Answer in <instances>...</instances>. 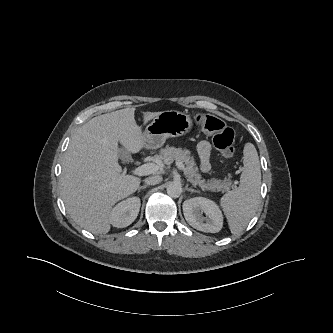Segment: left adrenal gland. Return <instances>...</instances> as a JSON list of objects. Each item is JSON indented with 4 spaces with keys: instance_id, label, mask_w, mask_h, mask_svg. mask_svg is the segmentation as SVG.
Segmentation results:
<instances>
[{
    "instance_id": "obj_1",
    "label": "left adrenal gland",
    "mask_w": 333,
    "mask_h": 333,
    "mask_svg": "<svg viewBox=\"0 0 333 333\" xmlns=\"http://www.w3.org/2000/svg\"><path fill=\"white\" fill-rule=\"evenodd\" d=\"M185 189L187 190V191H191V192H199L198 190H195V189H193V188H189L188 186H186L185 187Z\"/></svg>"
}]
</instances>
